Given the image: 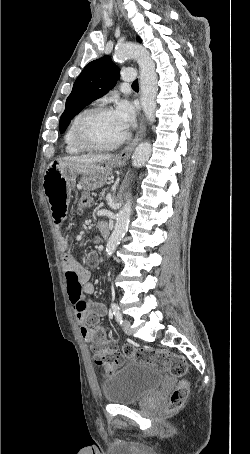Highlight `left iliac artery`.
Here are the masks:
<instances>
[{
  "label": "left iliac artery",
  "instance_id": "44dca946",
  "mask_svg": "<svg viewBox=\"0 0 250 454\" xmlns=\"http://www.w3.org/2000/svg\"><path fill=\"white\" fill-rule=\"evenodd\" d=\"M111 308H112L116 321L121 325L123 321H122V314L120 312L119 306L116 303H112Z\"/></svg>",
  "mask_w": 250,
  "mask_h": 454
}]
</instances>
